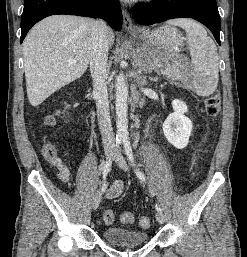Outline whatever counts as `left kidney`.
I'll return each mask as SVG.
<instances>
[{"label": "left kidney", "mask_w": 247, "mask_h": 257, "mask_svg": "<svg viewBox=\"0 0 247 257\" xmlns=\"http://www.w3.org/2000/svg\"><path fill=\"white\" fill-rule=\"evenodd\" d=\"M174 112L170 114L163 124V132L166 139L177 149H183L189 142L193 124L185 116L188 107L185 102L175 99L172 101Z\"/></svg>", "instance_id": "5707ae66"}]
</instances>
